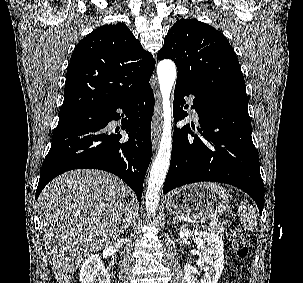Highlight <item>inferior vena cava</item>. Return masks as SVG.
Segmentation results:
<instances>
[{"label":"inferior vena cava","mask_w":303,"mask_h":283,"mask_svg":"<svg viewBox=\"0 0 303 283\" xmlns=\"http://www.w3.org/2000/svg\"><path fill=\"white\" fill-rule=\"evenodd\" d=\"M125 212H126V213H125V216H127L128 213H131L130 205H127V206H126Z\"/></svg>","instance_id":"inferior-vena-cava-1"}]
</instances>
